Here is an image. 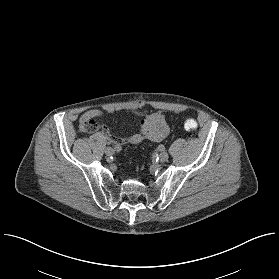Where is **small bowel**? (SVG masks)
<instances>
[{
  "mask_svg": "<svg viewBox=\"0 0 279 279\" xmlns=\"http://www.w3.org/2000/svg\"><path fill=\"white\" fill-rule=\"evenodd\" d=\"M108 112H112V108L107 109ZM104 112L100 109H90L84 112L80 118L81 129L87 123H90L93 131L99 128L98 124L91 121L94 118L102 117ZM102 133L106 139L112 145H124V144H138L144 139L151 141H161L169 134V126L167 123L166 115L161 112H154L145 116L140 123V133H134L128 136L117 137L113 135L111 130L107 126L100 127Z\"/></svg>",
  "mask_w": 279,
  "mask_h": 279,
  "instance_id": "obj_1",
  "label": "small bowel"
}]
</instances>
